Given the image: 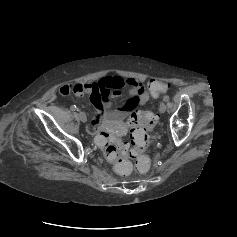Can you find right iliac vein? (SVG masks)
<instances>
[{
	"label": "right iliac vein",
	"mask_w": 237,
	"mask_h": 237,
	"mask_svg": "<svg viewBox=\"0 0 237 237\" xmlns=\"http://www.w3.org/2000/svg\"><path fill=\"white\" fill-rule=\"evenodd\" d=\"M79 119L82 121V122H86L87 121V117L85 115L84 112H80L79 113Z\"/></svg>",
	"instance_id": "1"
}]
</instances>
